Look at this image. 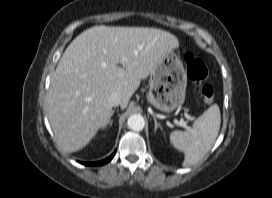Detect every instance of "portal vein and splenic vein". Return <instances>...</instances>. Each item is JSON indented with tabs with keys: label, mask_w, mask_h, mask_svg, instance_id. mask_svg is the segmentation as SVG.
Segmentation results:
<instances>
[{
	"label": "portal vein and splenic vein",
	"mask_w": 272,
	"mask_h": 198,
	"mask_svg": "<svg viewBox=\"0 0 272 198\" xmlns=\"http://www.w3.org/2000/svg\"><path fill=\"white\" fill-rule=\"evenodd\" d=\"M185 118H187L188 120H193L194 118L191 117L190 115H188L187 113L184 114ZM176 123L182 127H187L186 126V122L184 120H180V121H176Z\"/></svg>",
	"instance_id": "1"
}]
</instances>
